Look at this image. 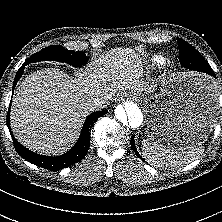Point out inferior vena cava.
<instances>
[{"instance_id":"inferior-vena-cava-1","label":"inferior vena cava","mask_w":222,"mask_h":222,"mask_svg":"<svg viewBox=\"0 0 222 222\" xmlns=\"http://www.w3.org/2000/svg\"><path fill=\"white\" fill-rule=\"evenodd\" d=\"M109 100L106 97H97L87 103L90 110L103 109L108 106Z\"/></svg>"}]
</instances>
